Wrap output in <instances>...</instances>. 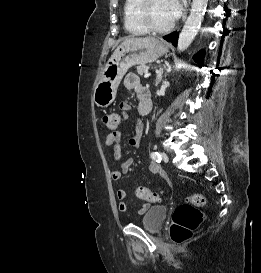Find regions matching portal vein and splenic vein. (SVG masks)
<instances>
[{"instance_id":"portal-vein-and-splenic-vein-1","label":"portal vein and splenic vein","mask_w":261,"mask_h":273,"mask_svg":"<svg viewBox=\"0 0 261 273\" xmlns=\"http://www.w3.org/2000/svg\"><path fill=\"white\" fill-rule=\"evenodd\" d=\"M150 75H151V73H149V72L147 71V72H145L144 77H145V78H148Z\"/></svg>"}]
</instances>
